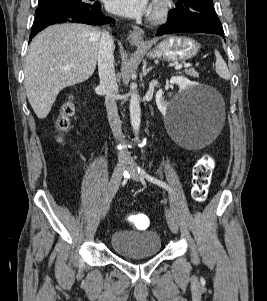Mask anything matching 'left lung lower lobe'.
<instances>
[{"label": "left lung lower lobe", "mask_w": 267, "mask_h": 301, "mask_svg": "<svg viewBox=\"0 0 267 301\" xmlns=\"http://www.w3.org/2000/svg\"><path fill=\"white\" fill-rule=\"evenodd\" d=\"M173 33H209L217 34L224 38V31H218L214 28H211L208 25L202 23L194 22H182V23H169L162 25L159 28L156 36H161L164 34H173Z\"/></svg>", "instance_id": "1"}]
</instances>
